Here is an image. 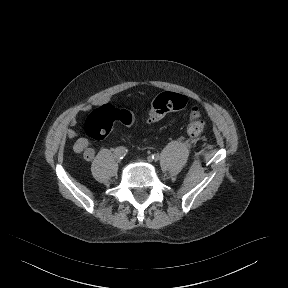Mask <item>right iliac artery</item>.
Segmentation results:
<instances>
[{"mask_svg":"<svg viewBox=\"0 0 288 288\" xmlns=\"http://www.w3.org/2000/svg\"><path fill=\"white\" fill-rule=\"evenodd\" d=\"M126 152L127 150L124 147H118L114 151V154L118 159H122L126 155Z\"/></svg>","mask_w":288,"mask_h":288,"instance_id":"obj_1","label":"right iliac artery"}]
</instances>
